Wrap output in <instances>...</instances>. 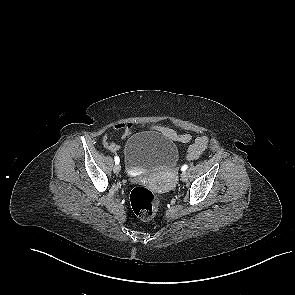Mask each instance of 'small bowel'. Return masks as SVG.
I'll return each instance as SVG.
<instances>
[{"instance_id": "small-bowel-1", "label": "small bowel", "mask_w": 295, "mask_h": 295, "mask_svg": "<svg viewBox=\"0 0 295 295\" xmlns=\"http://www.w3.org/2000/svg\"><path fill=\"white\" fill-rule=\"evenodd\" d=\"M154 129L161 132L164 136L168 137L171 140L188 143L192 140V136L189 133L179 134L175 130L169 127L155 125ZM115 131L122 134L123 138L129 137L134 129L133 123H124L118 122L114 125ZM102 145L105 149L112 153H117L120 151V146L114 141L110 140L108 134H104L102 137ZM208 146V138L204 135H200L195 138L194 142L189 146L187 151V160H196L201 156V154L206 150Z\"/></svg>"}]
</instances>
